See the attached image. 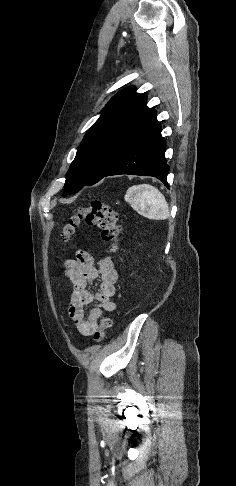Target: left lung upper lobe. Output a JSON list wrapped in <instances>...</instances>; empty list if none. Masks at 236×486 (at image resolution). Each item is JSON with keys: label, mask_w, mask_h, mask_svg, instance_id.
<instances>
[{"label": "left lung upper lobe", "mask_w": 236, "mask_h": 486, "mask_svg": "<svg viewBox=\"0 0 236 486\" xmlns=\"http://www.w3.org/2000/svg\"><path fill=\"white\" fill-rule=\"evenodd\" d=\"M146 100L134 87L112 97L77 149L63 196L100 181L133 141L157 121L156 111L146 106Z\"/></svg>", "instance_id": "left-lung-upper-lobe-1"}]
</instances>
